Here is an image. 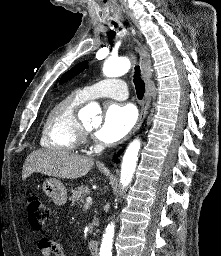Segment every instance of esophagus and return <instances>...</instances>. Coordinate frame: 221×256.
Returning <instances> with one entry per match:
<instances>
[{"mask_svg":"<svg viewBox=\"0 0 221 256\" xmlns=\"http://www.w3.org/2000/svg\"><path fill=\"white\" fill-rule=\"evenodd\" d=\"M137 46H138V51H139V60H140V65H141V70L143 73V77L146 83V92L144 95V99L141 104V111L139 114V119L133 128V130L130 132L129 136L133 135L139 128L141 127L147 113L148 109L150 106L151 102V88H150V80H151V59L149 52L147 48L144 46L142 43V40L140 37L137 39Z\"/></svg>","mask_w":221,"mask_h":256,"instance_id":"esophagus-1","label":"esophagus"}]
</instances>
